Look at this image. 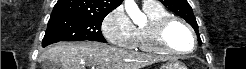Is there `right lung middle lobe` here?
<instances>
[{
  "mask_svg": "<svg viewBox=\"0 0 246 69\" xmlns=\"http://www.w3.org/2000/svg\"><path fill=\"white\" fill-rule=\"evenodd\" d=\"M104 17H59L50 18L42 46L59 41L106 42L101 32Z\"/></svg>",
  "mask_w": 246,
  "mask_h": 69,
  "instance_id": "obj_1",
  "label": "right lung middle lobe"
}]
</instances>
